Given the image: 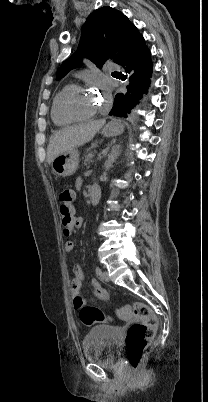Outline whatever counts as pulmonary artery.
Returning <instances> with one entry per match:
<instances>
[{"label": "pulmonary artery", "mask_w": 208, "mask_h": 402, "mask_svg": "<svg viewBox=\"0 0 208 402\" xmlns=\"http://www.w3.org/2000/svg\"><path fill=\"white\" fill-rule=\"evenodd\" d=\"M105 65H106V69L108 70V71H111V72H115V73H118L119 72V69H118V65L117 64H113L110 60H107L106 62H105Z\"/></svg>", "instance_id": "obj_1"}]
</instances>
